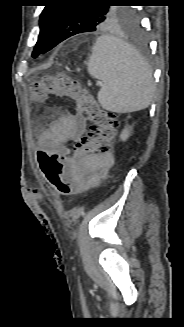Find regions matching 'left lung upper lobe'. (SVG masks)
Listing matches in <instances>:
<instances>
[{
  "instance_id": "obj_1",
  "label": "left lung upper lobe",
  "mask_w": 184,
  "mask_h": 327,
  "mask_svg": "<svg viewBox=\"0 0 184 327\" xmlns=\"http://www.w3.org/2000/svg\"><path fill=\"white\" fill-rule=\"evenodd\" d=\"M53 3L45 6L41 13L40 33L32 53L33 58L44 51L61 20L64 28L75 30L74 33L91 32L111 25L131 28L137 23L135 11L125 6L86 5L82 0H57Z\"/></svg>"
}]
</instances>
